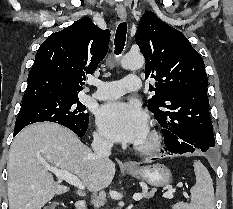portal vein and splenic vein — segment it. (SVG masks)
<instances>
[{
	"mask_svg": "<svg viewBox=\"0 0 233 209\" xmlns=\"http://www.w3.org/2000/svg\"><path fill=\"white\" fill-rule=\"evenodd\" d=\"M45 167H46L47 170L53 172L59 180H65L69 184L77 187L79 190H84L85 189V187L82 184V182L80 181V179L77 176H75L74 174H72L70 172H67V171H64V170H61V169H58L56 167L50 166L48 164H45ZM175 191H176L175 188H170V189H168L167 192H165L163 194V197L168 198V199L172 198L173 193ZM143 196H144L143 194H137V195L133 196V199L135 201H139V200H141L143 198Z\"/></svg>",
	"mask_w": 233,
	"mask_h": 209,
	"instance_id": "obj_1",
	"label": "portal vein and splenic vein"
}]
</instances>
